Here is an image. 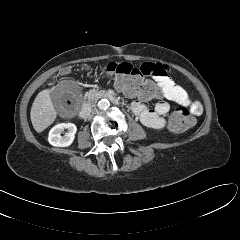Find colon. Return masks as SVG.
I'll return each mask as SVG.
<instances>
[{"label": "colon", "instance_id": "1", "mask_svg": "<svg viewBox=\"0 0 240 240\" xmlns=\"http://www.w3.org/2000/svg\"><path fill=\"white\" fill-rule=\"evenodd\" d=\"M103 70L106 74L112 76L117 87L129 96L151 100L160 97L162 94L159 85L147 79L138 66L129 63L110 62L103 67ZM193 123L194 119L189 111L183 107L174 110L169 118V127L174 132H183L190 128Z\"/></svg>", "mask_w": 240, "mask_h": 240}]
</instances>
